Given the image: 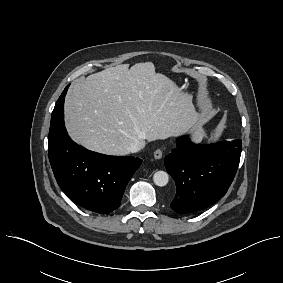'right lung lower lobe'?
Wrapping results in <instances>:
<instances>
[{
	"mask_svg": "<svg viewBox=\"0 0 283 283\" xmlns=\"http://www.w3.org/2000/svg\"><path fill=\"white\" fill-rule=\"evenodd\" d=\"M68 86L51 116L50 164L58 185L70 199L93 212L108 214L119 207L124 190L142 160L103 155L73 142L64 126V98Z\"/></svg>",
	"mask_w": 283,
	"mask_h": 283,
	"instance_id": "right-lung-lower-lobe-1",
	"label": "right lung lower lobe"
}]
</instances>
